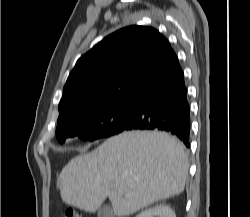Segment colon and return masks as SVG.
I'll return each mask as SVG.
<instances>
[{"mask_svg":"<svg viewBox=\"0 0 250 217\" xmlns=\"http://www.w3.org/2000/svg\"><path fill=\"white\" fill-rule=\"evenodd\" d=\"M64 217H77L73 211H67Z\"/></svg>","mask_w":250,"mask_h":217,"instance_id":"obj_1","label":"colon"}]
</instances>
